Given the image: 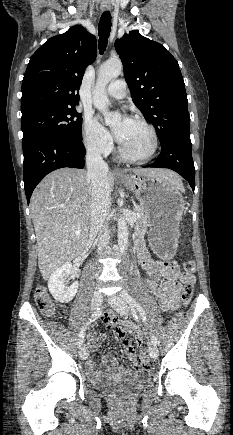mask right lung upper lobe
<instances>
[{
  "instance_id": "right-lung-upper-lobe-1",
  "label": "right lung upper lobe",
  "mask_w": 233,
  "mask_h": 435,
  "mask_svg": "<svg viewBox=\"0 0 233 435\" xmlns=\"http://www.w3.org/2000/svg\"><path fill=\"white\" fill-rule=\"evenodd\" d=\"M96 38L80 25L48 39L30 58L22 81V116L49 107H74Z\"/></svg>"
}]
</instances>
